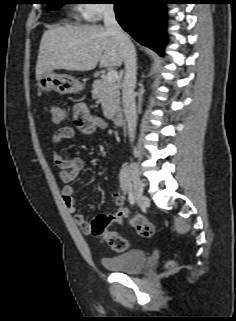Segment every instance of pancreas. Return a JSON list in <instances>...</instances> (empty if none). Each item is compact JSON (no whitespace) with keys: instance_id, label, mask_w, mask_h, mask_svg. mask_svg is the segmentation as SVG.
<instances>
[{"instance_id":"cf45deb5","label":"pancreas","mask_w":236,"mask_h":321,"mask_svg":"<svg viewBox=\"0 0 236 321\" xmlns=\"http://www.w3.org/2000/svg\"><path fill=\"white\" fill-rule=\"evenodd\" d=\"M120 84L109 83L105 75L94 81L92 96L102 104L104 116L111 119L120 110Z\"/></svg>"}]
</instances>
